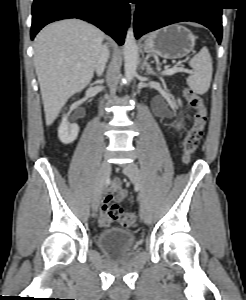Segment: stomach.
Returning <instances> with one entry per match:
<instances>
[{"label": "stomach", "instance_id": "1", "mask_svg": "<svg viewBox=\"0 0 246 300\" xmlns=\"http://www.w3.org/2000/svg\"><path fill=\"white\" fill-rule=\"evenodd\" d=\"M196 37L186 27L172 24L145 37L144 50L165 59L182 58L195 46Z\"/></svg>", "mask_w": 246, "mask_h": 300}]
</instances>
